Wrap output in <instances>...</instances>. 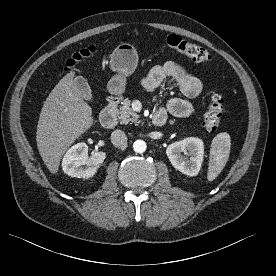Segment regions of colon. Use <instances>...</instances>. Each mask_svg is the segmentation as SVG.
I'll use <instances>...</instances> for the list:
<instances>
[{
    "mask_svg": "<svg viewBox=\"0 0 276 276\" xmlns=\"http://www.w3.org/2000/svg\"><path fill=\"white\" fill-rule=\"evenodd\" d=\"M166 43L169 48L185 54L196 62L204 63L210 59V54L205 48L191 43L178 35H169ZM95 52L96 47L93 45L74 50L64 58V67L70 69L79 61L92 56ZM223 108L224 99L222 95L217 92L213 93L209 99L202 122V126L207 132L213 133L217 130L222 120Z\"/></svg>",
    "mask_w": 276,
    "mask_h": 276,
    "instance_id": "colon-1",
    "label": "colon"
}]
</instances>
